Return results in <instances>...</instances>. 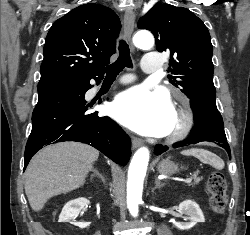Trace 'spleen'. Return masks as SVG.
I'll list each match as a JSON object with an SVG mask.
<instances>
[{"mask_svg": "<svg viewBox=\"0 0 250 235\" xmlns=\"http://www.w3.org/2000/svg\"><path fill=\"white\" fill-rule=\"evenodd\" d=\"M183 155H191L198 158L201 162L212 165L214 168L221 170L224 168V161L217 155L198 148H192L181 152Z\"/></svg>", "mask_w": 250, "mask_h": 235, "instance_id": "1", "label": "spleen"}]
</instances>
